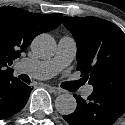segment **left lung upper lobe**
Listing matches in <instances>:
<instances>
[{"instance_id": "left-lung-upper-lobe-1", "label": "left lung upper lobe", "mask_w": 125, "mask_h": 125, "mask_svg": "<svg viewBox=\"0 0 125 125\" xmlns=\"http://www.w3.org/2000/svg\"><path fill=\"white\" fill-rule=\"evenodd\" d=\"M63 24L77 44V70L94 91L125 94V34L96 17H65Z\"/></svg>"}]
</instances>
